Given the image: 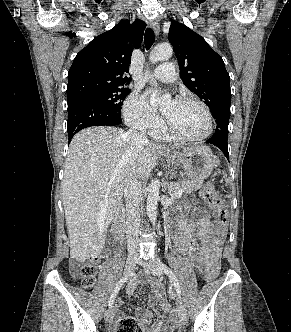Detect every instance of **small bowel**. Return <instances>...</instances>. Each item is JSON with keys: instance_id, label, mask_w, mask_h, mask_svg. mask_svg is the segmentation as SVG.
Returning a JSON list of instances; mask_svg holds the SVG:
<instances>
[{"instance_id": "c3829d8e", "label": "small bowel", "mask_w": 291, "mask_h": 332, "mask_svg": "<svg viewBox=\"0 0 291 332\" xmlns=\"http://www.w3.org/2000/svg\"><path fill=\"white\" fill-rule=\"evenodd\" d=\"M224 237L225 230L215 227L210 216L207 213H202L192 221L179 224L178 232L174 238L175 250L191 260L198 269L204 270L210 263L219 259ZM135 284L136 282L133 281L129 285V293L134 290ZM150 302L153 307L159 303L163 312L170 310V304L164 298L163 290L158 285L150 294ZM137 314L141 324L145 325L150 322L151 314L149 311L139 309ZM172 323V319L160 314L147 332H169Z\"/></svg>"}]
</instances>
